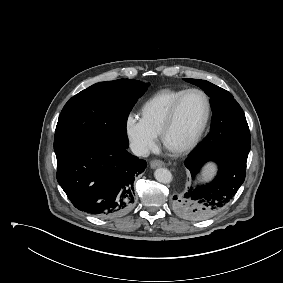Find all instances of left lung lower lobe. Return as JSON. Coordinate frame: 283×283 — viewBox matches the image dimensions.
<instances>
[{"mask_svg":"<svg viewBox=\"0 0 283 283\" xmlns=\"http://www.w3.org/2000/svg\"><path fill=\"white\" fill-rule=\"evenodd\" d=\"M248 153L234 149L194 151L185 166L194 180L207 162L218 165V173L206 185H193L182 196H174V209L185 219L202 220L218 213L244 182Z\"/></svg>","mask_w":283,"mask_h":283,"instance_id":"obj_1","label":"left lung lower lobe"}]
</instances>
